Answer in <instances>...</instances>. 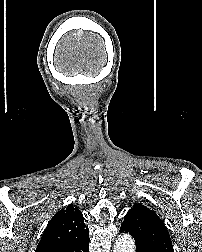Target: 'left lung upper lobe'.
I'll return each instance as SVG.
<instances>
[{"instance_id": "5c2ea615", "label": "left lung upper lobe", "mask_w": 202, "mask_h": 252, "mask_svg": "<svg viewBox=\"0 0 202 252\" xmlns=\"http://www.w3.org/2000/svg\"><path fill=\"white\" fill-rule=\"evenodd\" d=\"M121 227H125L134 237L136 252H174L165 224L144 205L134 204L125 215Z\"/></svg>"}]
</instances>
